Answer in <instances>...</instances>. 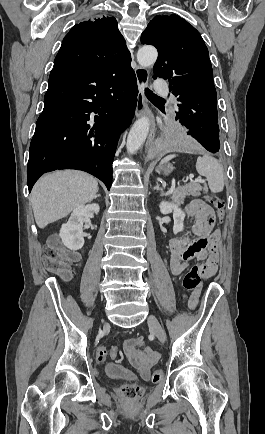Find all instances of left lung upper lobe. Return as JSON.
<instances>
[{"label":"left lung upper lobe","mask_w":265,"mask_h":434,"mask_svg":"<svg viewBox=\"0 0 265 434\" xmlns=\"http://www.w3.org/2000/svg\"><path fill=\"white\" fill-rule=\"evenodd\" d=\"M157 48L154 76L169 79L176 119L188 129H218L217 96L208 49L199 32L175 14L155 16L141 35Z\"/></svg>","instance_id":"left-lung-upper-lobe-1"}]
</instances>
